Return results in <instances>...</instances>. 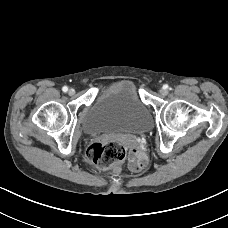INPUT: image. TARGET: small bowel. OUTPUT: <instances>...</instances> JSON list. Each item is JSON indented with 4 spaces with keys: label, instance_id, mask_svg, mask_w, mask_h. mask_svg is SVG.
Returning <instances> with one entry per match:
<instances>
[{
    "label": "small bowel",
    "instance_id": "c3829d8e",
    "mask_svg": "<svg viewBox=\"0 0 228 228\" xmlns=\"http://www.w3.org/2000/svg\"><path fill=\"white\" fill-rule=\"evenodd\" d=\"M147 156L140 150H131L128 158L129 168L134 172H139L147 166Z\"/></svg>",
    "mask_w": 228,
    "mask_h": 228
}]
</instances>
